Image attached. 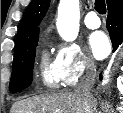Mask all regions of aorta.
<instances>
[{
	"mask_svg": "<svg viewBox=\"0 0 123 113\" xmlns=\"http://www.w3.org/2000/svg\"><path fill=\"white\" fill-rule=\"evenodd\" d=\"M79 18V0H60L56 26L63 40L72 42L77 38Z\"/></svg>",
	"mask_w": 123,
	"mask_h": 113,
	"instance_id": "aorta-1",
	"label": "aorta"
}]
</instances>
